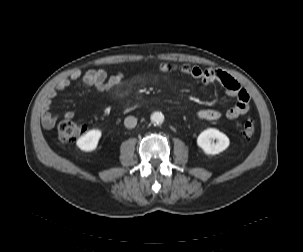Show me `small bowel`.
Instances as JSON below:
<instances>
[{"label": "small bowel", "instance_id": "c3829d8e", "mask_svg": "<svg viewBox=\"0 0 303 252\" xmlns=\"http://www.w3.org/2000/svg\"><path fill=\"white\" fill-rule=\"evenodd\" d=\"M159 69L163 73H177L182 76H188L198 80L204 86H210L214 82H219L225 93L236 99V103L224 115L214 109H202L197 112L196 116L200 120L217 122L223 118L234 120L240 115H244L249 111V94L229 74L217 70L215 68H203L197 65L178 63L171 64L163 62ZM124 74L119 72L114 75H108L103 69H91L85 72L75 71L67 77L59 80L49 91L48 97L44 102L41 114L42 124L45 128H52L56 121L60 118H73L74 114L71 111H66L62 114L52 113V100L55 98L58 91H62L69 87L73 82L81 79L85 84L95 86L100 91H109L120 86L124 81Z\"/></svg>", "mask_w": 303, "mask_h": 252}]
</instances>
